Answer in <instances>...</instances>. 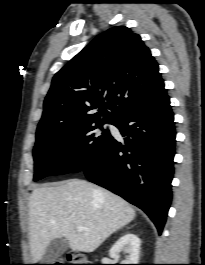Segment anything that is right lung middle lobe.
Returning <instances> with one entry per match:
<instances>
[{"instance_id":"dd1d6c3e","label":"right lung middle lobe","mask_w":205,"mask_h":265,"mask_svg":"<svg viewBox=\"0 0 205 265\" xmlns=\"http://www.w3.org/2000/svg\"><path fill=\"white\" fill-rule=\"evenodd\" d=\"M105 123L95 120L66 128L38 130L33 150L34 181L46 176L82 171L112 137L108 129H103Z\"/></svg>"}]
</instances>
